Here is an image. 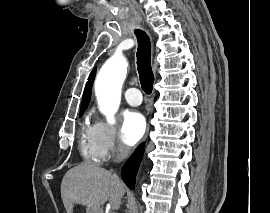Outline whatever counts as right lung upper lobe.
<instances>
[{
  "instance_id": "cb5924a9",
  "label": "right lung upper lobe",
  "mask_w": 270,
  "mask_h": 213,
  "mask_svg": "<svg viewBox=\"0 0 270 213\" xmlns=\"http://www.w3.org/2000/svg\"><path fill=\"white\" fill-rule=\"evenodd\" d=\"M95 72L96 71L94 69L91 72V74H90V76L88 78V81L86 83L85 90H84V93H83V99H82V105H81V112H83L87 108L88 103L90 101L92 83H93V80H94Z\"/></svg>"
}]
</instances>
